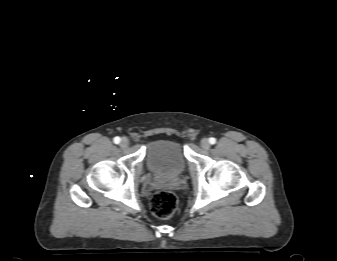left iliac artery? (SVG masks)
<instances>
[{"label":"left iliac artery","mask_w":337,"mask_h":261,"mask_svg":"<svg viewBox=\"0 0 337 261\" xmlns=\"http://www.w3.org/2000/svg\"><path fill=\"white\" fill-rule=\"evenodd\" d=\"M209 143L210 144H215L216 143V139L213 138V137L209 138Z\"/></svg>","instance_id":"left-iliac-artery-1"}]
</instances>
